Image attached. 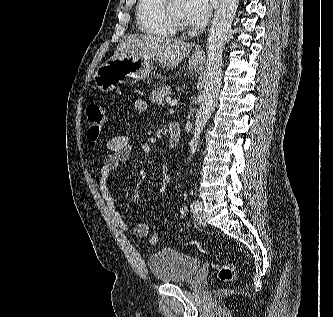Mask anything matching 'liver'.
<instances>
[{
	"mask_svg": "<svg viewBox=\"0 0 333 317\" xmlns=\"http://www.w3.org/2000/svg\"><path fill=\"white\" fill-rule=\"evenodd\" d=\"M193 44L178 39L143 34L126 36L116 48L113 58L137 55L174 69L192 49Z\"/></svg>",
	"mask_w": 333,
	"mask_h": 317,
	"instance_id": "6515ba94",
	"label": "liver"
}]
</instances>
